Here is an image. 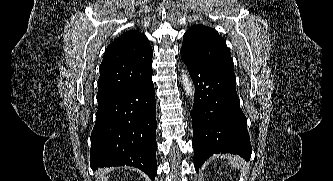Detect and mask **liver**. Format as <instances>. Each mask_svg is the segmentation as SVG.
<instances>
[{
    "instance_id": "liver-1",
    "label": "liver",
    "mask_w": 333,
    "mask_h": 181,
    "mask_svg": "<svg viewBox=\"0 0 333 181\" xmlns=\"http://www.w3.org/2000/svg\"><path fill=\"white\" fill-rule=\"evenodd\" d=\"M108 172V170H100L98 173L101 174V175H104V173Z\"/></svg>"
}]
</instances>
